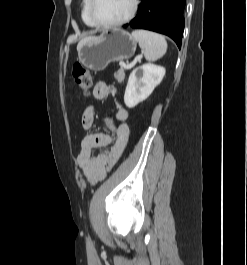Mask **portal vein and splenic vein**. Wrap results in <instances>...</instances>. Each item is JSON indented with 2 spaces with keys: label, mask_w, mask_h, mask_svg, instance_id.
I'll return each instance as SVG.
<instances>
[{
  "label": "portal vein and splenic vein",
  "mask_w": 247,
  "mask_h": 265,
  "mask_svg": "<svg viewBox=\"0 0 247 265\" xmlns=\"http://www.w3.org/2000/svg\"><path fill=\"white\" fill-rule=\"evenodd\" d=\"M142 59V55H138L134 62H132L131 64H128L126 65L125 63H121L120 66L121 68H124V69H129V68H132L134 66V64L137 62V61H140Z\"/></svg>",
  "instance_id": "18ae733b"
}]
</instances>
